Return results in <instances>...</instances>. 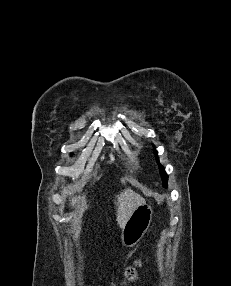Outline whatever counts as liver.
Returning <instances> with one entry per match:
<instances>
[{
	"mask_svg": "<svg viewBox=\"0 0 231 286\" xmlns=\"http://www.w3.org/2000/svg\"><path fill=\"white\" fill-rule=\"evenodd\" d=\"M116 198L117 200L114 202L116 205V221L119 227L122 229L131 217L134 210L138 206L145 204L146 201L141 195L129 188L120 192ZM70 205L78 207L77 221H79L85 210L88 208L85 197L73 196L70 199Z\"/></svg>",
	"mask_w": 231,
	"mask_h": 286,
	"instance_id": "liver-1",
	"label": "liver"
}]
</instances>
